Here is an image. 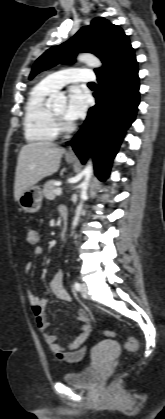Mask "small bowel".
<instances>
[{"mask_svg":"<svg viewBox=\"0 0 165 419\" xmlns=\"http://www.w3.org/2000/svg\"><path fill=\"white\" fill-rule=\"evenodd\" d=\"M32 235L35 236V240L32 239ZM27 238L29 243L37 244L39 242V234L34 229H29L27 232ZM34 257H39L43 254V248L39 245H35L32 250ZM33 268V263L28 262L25 266L26 273H29ZM64 272L59 270L53 276L50 281V289L52 293L62 302H69L71 297L68 291L63 285ZM29 303L32 307V312L35 318L38 329L44 334V340L47 343L49 349L55 354L60 361L74 363L81 361L86 353L87 346L84 345L89 337L91 331V325L89 316L84 309L77 311V320L80 323L79 331L75 338L66 345H61L57 342V336L47 332L49 323L45 318L44 309L48 304V299L45 297H39L32 292L28 294Z\"/></svg>","mask_w":165,"mask_h":419,"instance_id":"small-bowel-1","label":"small bowel"}]
</instances>
